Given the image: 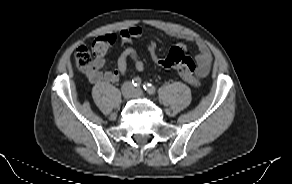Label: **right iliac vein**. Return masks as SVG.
I'll return each mask as SVG.
<instances>
[{
	"instance_id": "right-iliac-vein-1",
	"label": "right iliac vein",
	"mask_w": 292,
	"mask_h": 184,
	"mask_svg": "<svg viewBox=\"0 0 292 184\" xmlns=\"http://www.w3.org/2000/svg\"><path fill=\"white\" fill-rule=\"evenodd\" d=\"M122 95L125 99H129L133 95V89L129 82L125 83L122 87Z\"/></svg>"
}]
</instances>
